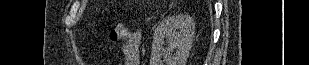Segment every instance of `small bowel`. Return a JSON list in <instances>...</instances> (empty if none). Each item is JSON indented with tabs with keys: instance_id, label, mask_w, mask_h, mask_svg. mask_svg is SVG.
Returning a JSON list of instances; mask_svg holds the SVG:
<instances>
[{
	"instance_id": "c3829d8e",
	"label": "small bowel",
	"mask_w": 309,
	"mask_h": 65,
	"mask_svg": "<svg viewBox=\"0 0 309 65\" xmlns=\"http://www.w3.org/2000/svg\"><path fill=\"white\" fill-rule=\"evenodd\" d=\"M139 30L127 32L121 45V52L126 65H139V46L141 42Z\"/></svg>"
}]
</instances>
